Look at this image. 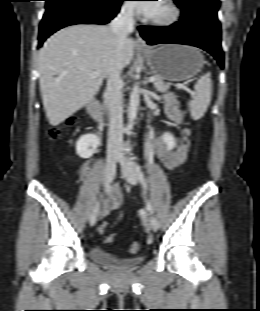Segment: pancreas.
I'll return each instance as SVG.
<instances>
[{"mask_svg":"<svg viewBox=\"0 0 260 311\" xmlns=\"http://www.w3.org/2000/svg\"><path fill=\"white\" fill-rule=\"evenodd\" d=\"M155 81L153 82L154 88L162 93L167 92L170 89V83H165L163 79L157 75L153 76Z\"/></svg>","mask_w":260,"mask_h":311,"instance_id":"pancreas-1","label":"pancreas"}]
</instances>
